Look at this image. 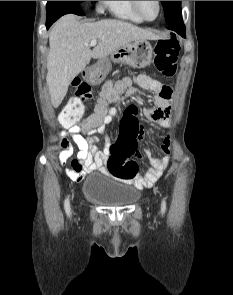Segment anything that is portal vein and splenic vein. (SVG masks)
I'll return each instance as SVG.
<instances>
[{
    "label": "portal vein and splenic vein",
    "mask_w": 233,
    "mask_h": 295,
    "mask_svg": "<svg viewBox=\"0 0 233 295\" xmlns=\"http://www.w3.org/2000/svg\"><path fill=\"white\" fill-rule=\"evenodd\" d=\"M97 44V40H92L91 42H90V46H95Z\"/></svg>",
    "instance_id": "18ae733b"
}]
</instances>
